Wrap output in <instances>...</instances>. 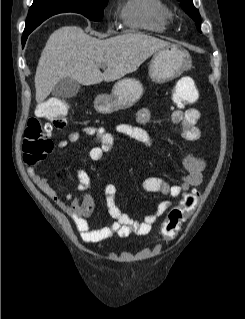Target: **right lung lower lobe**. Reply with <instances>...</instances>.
Returning a JSON list of instances; mask_svg holds the SVG:
<instances>
[{
  "mask_svg": "<svg viewBox=\"0 0 245 319\" xmlns=\"http://www.w3.org/2000/svg\"><path fill=\"white\" fill-rule=\"evenodd\" d=\"M31 32H27V31H24V35L22 37V44L24 45L25 44V41L28 37V35L30 34Z\"/></svg>",
  "mask_w": 245,
  "mask_h": 319,
  "instance_id": "1",
  "label": "right lung lower lobe"
}]
</instances>
